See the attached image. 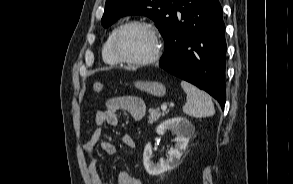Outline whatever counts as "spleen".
<instances>
[{"label":"spleen","mask_w":293,"mask_h":184,"mask_svg":"<svg viewBox=\"0 0 293 184\" xmlns=\"http://www.w3.org/2000/svg\"><path fill=\"white\" fill-rule=\"evenodd\" d=\"M181 87L187 94V102L183 106V112L186 115L196 118L214 115V105L207 93L186 81H181Z\"/></svg>","instance_id":"1"}]
</instances>
